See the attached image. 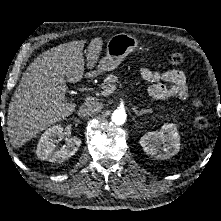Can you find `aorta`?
<instances>
[{
    "label": "aorta",
    "instance_id": "762f6f07",
    "mask_svg": "<svg viewBox=\"0 0 221 221\" xmlns=\"http://www.w3.org/2000/svg\"><path fill=\"white\" fill-rule=\"evenodd\" d=\"M126 112L123 109H116L112 113V122L116 125H123L126 121Z\"/></svg>",
    "mask_w": 221,
    "mask_h": 221
}]
</instances>
